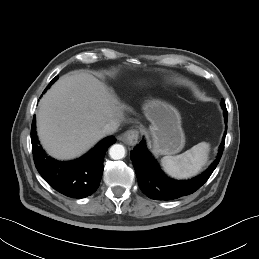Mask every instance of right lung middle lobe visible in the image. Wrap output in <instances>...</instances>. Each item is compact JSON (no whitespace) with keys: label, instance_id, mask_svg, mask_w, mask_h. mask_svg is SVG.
<instances>
[{"label":"right lung middle lobe","instance_id":"right-lung-middle-lobe-1","mask_svg":"<svg viewBox=\"0 0 259 259\" xmlns=\"http://www.w3.org/2000/svg\"><path fill=\"white\" fill-rule=\"evenodd\" d=\"M58 79V76H56L55 78H53L50 82V84L48 85V87L46 88V90L50 87V85L55 82ZM45 92V91H44Z\"/></svg>","mask_w":259,"mask_h":259}]
</instances>
